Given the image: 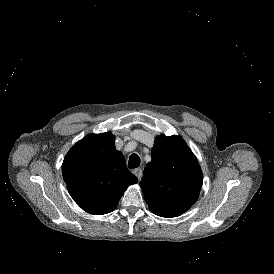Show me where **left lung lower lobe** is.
<instances>
[{
  "mask_svg": "<svg viewBox=\"0 0 274 274\" xmlns=\"http://www.w3.org/2000/svg\"><path fill=\"white\" fill-rule=\"evenodd\" d=\"M155 214L159 215V216H163V217H174V216L180 215V214H175V213H164V212H159V213H155Z\"/></svg>",
  "mask_w": 274,
  "mask_h": 274,
  "instance_id": "1",
  "label": "left lung lower lobe"
}]
</instances>
